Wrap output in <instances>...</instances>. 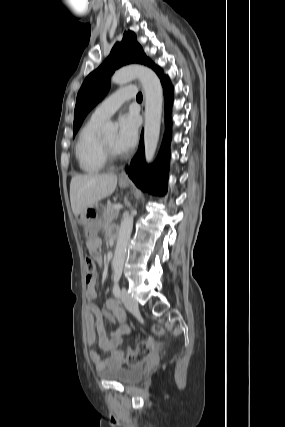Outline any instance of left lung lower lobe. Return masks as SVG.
<instances>
[{"label": "left lung lower lobe", "instance_id": "left-lung-lower-lobe-1", "mask_svg": "<svg viewBox=\"0 0 285 427\" xmlns=\"http://www.w3.org/2000/svg\"><path fill=\"white\" fill-rule=\"evenodd\" d=\"M153 69L161 79L165 95V108L167 112H169L171 107L173 88L170 85L168 76H165L159 67L154 66ZM169 129L170 123L168 121L167 134L164 137L157 160L152 166H147L145 163L142 133L139 150L131 161L129 169L126 170L129 177L138 187L156 195H164L167 191L170 145Z\"/></svg>", "mask_w": 285, "mask_h": 427}]
</instances>
